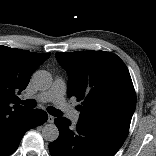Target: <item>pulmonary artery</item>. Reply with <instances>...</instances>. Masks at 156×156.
I'll return each instance as SVG.
<instances>
[{
	"mask_svg": "<svg viewBox=\"0 0 156 156\" xmlns=\"http://www.w3.org/2000/svg\"><path fill=\"white\" fill-rule=\"evenodd\" d=\"M66 84L61 78H56L52 86L44 92L36 95V99L40 102H52L61 111L68 115L72 122L77 123L80 117L79 112L73 110L65 100Z\"/></svg>",
	"mask_w": 156,
	"mask_h": 156,
	"instance_id": "1",
	"label": "pulmonary artery"
}]
</instances>
